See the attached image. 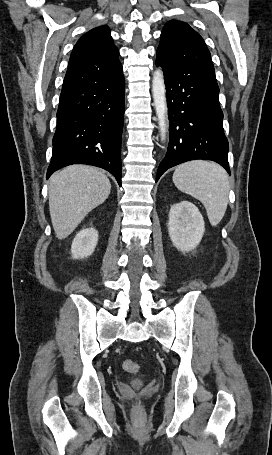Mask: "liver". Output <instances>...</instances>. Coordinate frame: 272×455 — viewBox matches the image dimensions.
I'll list each match as a JSON object with an SVG mask.
<instances>
[{"label":"liver","mask_w":272,"mask_h":455,"mask_svg":"<svg viewBox=\"0 0 272 455\" xmlns=\"http://www.w3.org/2000/svg\"><path fill=\"white\" fill-rule=\"evenodd\" d=\"M111 183L95 167L72 165L55 173L49 183V210L53 229L60 240L67 238L109 196Z\"/></svg>","instance_id":"obj_1"}]
</instances>
